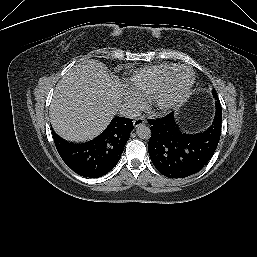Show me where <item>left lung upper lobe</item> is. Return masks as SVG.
<instances>
[{"mask_svg":"<svg viewBox=\"0 0 257 257\" xmlns=\"http://www.w3.org/2000/svg\"><path fill=\"white\" fill-rule=\"evenodd\" d=\"M212 94H213V96H214V98H215L216 100H219L218 95H217L215 89L212 90Z\"/></svg>","mask_w":257,"mask_h":257,"instance_id":"5c2ea615","label":"left lung upper lobe"}]
</instances>
